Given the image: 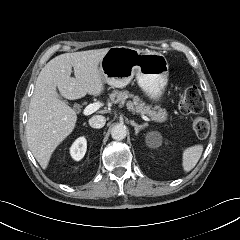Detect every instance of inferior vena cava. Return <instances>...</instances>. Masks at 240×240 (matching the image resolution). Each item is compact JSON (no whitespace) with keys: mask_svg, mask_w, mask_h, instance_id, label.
<instances>
[{"mask_svg":"<svg viewBox=\"0 0 240 240\" xmlns=\"http://www.w3.org/2000/svg\"><path fill=\"white\" fill-rule=\"evenodd\" d=\"M106 119L102 115H94L89 119V125L92 128H102L105 125Z\"/></svg>","mask_w":240,"mask_h":240,"instance_id":"602c4592","label":"inferior vena cava"}]
</instances>
